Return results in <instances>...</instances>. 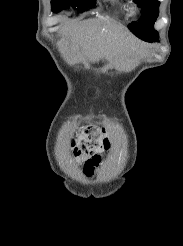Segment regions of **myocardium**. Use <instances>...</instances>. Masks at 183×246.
Wrapping results in <instances>:
<instances>
[{"mask_svg": "<svg viewBox=\"0 0 183 246\" xmlns=\"http://www.w3.org/2000/svg\"><path fill=\"white\" fill-rule=\"evenodd\" d=\"M137 9L136 8H133L132 9V13H136Z\"/></svg>", "mask_w": 183, "mask_h": 246, "instance_id": "obj_1", "label": "myocardium"}]
</instances>
